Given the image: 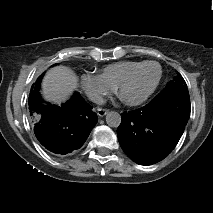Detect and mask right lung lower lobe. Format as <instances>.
I'll return each instance as SVG.
<instances>
[{
  "instance_id": "obj_1",
  "label": "right lung lower lobe",
  "mask_w": 213,
  "mask_h": 213,
  "mask_svg": "<svg viewBox=\"0 0 213 213\" xmlns=\"http://www.w3.org/2000/svg\"><path fill=\"white\" fill-rule=\"evenodd\" d=\"M40 80L32 86L28 100L35 135L49 151L70 153L86 141L97 115L77 92L60 106L45 102L39 93Z\"/></svg>"
}]
</instances>
